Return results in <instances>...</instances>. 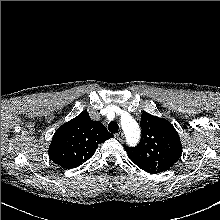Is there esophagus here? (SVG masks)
I'll use <instances>...</instances> for the list:
<instances>
[{
    "instance_id": "1",
    "label": "esophagus",
    "mask_w": 220,
    "mask_h": 220,
    "mask_svg": "<svg viewBox=\"0 0 220 220\" xmlns=\"http://www.w3.org/2000/svg\"><path fill=\"white\" fill-rule=\"evenodd\" d=\"M115 138L122 141L124 139V134L122 132L116 133Z\"/></svg>"
}]
</instances>
